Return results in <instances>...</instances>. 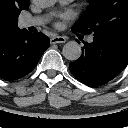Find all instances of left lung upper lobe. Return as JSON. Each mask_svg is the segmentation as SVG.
<instances>
[{
  "mask_svg": "<svg viewBox=\"0 0 128 128\" xmlns=\"http://www.w3.org/2000/svg\"><path fill=\"white\" fill-rule=\"evenodd\" d=\"M73 30L96 37L128 36V0H89Z\"/></svg>",
  "mask_w": 128,
  "mask_h": 128,
  "instance_id": "left-lung-upper-lobe-1",
  "label": "left lung upper lobe"
}]
</instances>
